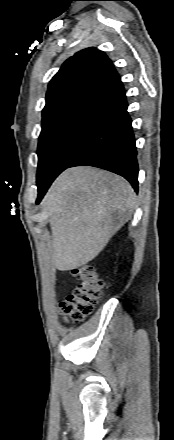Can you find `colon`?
Listing matches in <instances>:
<instances>
[{
	"label": "colon",
	"mask_w": 174,
	"mask_h": 440,
	"mask_svg": "<svg viewBox=\"0 0 174 440\" xmlns=\"http://www.w3.org/2000/svg\"><path fill=\"white\" fill-rule=\"evenodd\" d=\"M71 272L79 284L66 300L61 302L60 309L67 321L79 324L92 312L94 303L101 297L104 283L91 265L74 267Z\"/></svg>",
	"instance_id": "obj_1"
}]
</instances>
